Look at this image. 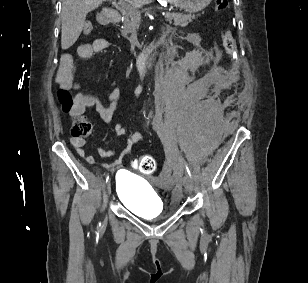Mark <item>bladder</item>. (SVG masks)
<instances>
[{
    "label": "bladder",
    "mask_w": 308,
    "mask_h": 283,
    "mask_svg": "<svg viewBox=\"0 0 308 283\" xmlns=\"http://www.w3.org/2000/svg\"><path fill=\"white\" fill-rule=\"evenodd\" d=\"M115 193L123 206L143 218H156L165 213L157 191L143 178L120 170L116 176Z\"/></svg>",
    "instance_id": "31cf9c89"
}]
</instances>
